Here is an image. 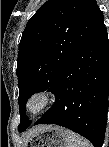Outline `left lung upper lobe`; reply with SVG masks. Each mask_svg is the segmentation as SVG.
<instances>
[{
    "label": "left lung upper lobe",
    "mask_w": 109,
    "mask_h": 147,
    "mask_svg": "<svg viewBox=\"0 0 109 147\" xmlns=\"http://www.w3.org/2000/svg\"><path fill=\"white\" fill-rule=\"evenodd\" d=\"M102 20L95 0H48L31 17L17 60L19 130L31 123L26 101L37 92H54L64 65Z\"/></svg>",
    "instance_id": "left-lung-upper-lobe-1"
}]
</instances>
